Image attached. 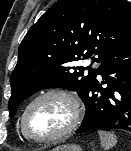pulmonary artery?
<instances>
[{
	"instance_id": "obj_1",
	"label": "pulmonary artery",
	"mask_w": 131,
	"mask_h": 151,
	"mask_svg": "<svg viewBox=\"0 0 131 151\" xmlns=\"http://www.w3.org/2000/svg\"><path fill=\"white\" fill-rule=\"evenodd\" d=\"M90 64V61H87V65H89Z\"/></svg>"
}]
</instances>
